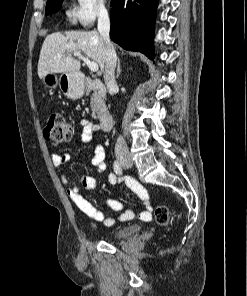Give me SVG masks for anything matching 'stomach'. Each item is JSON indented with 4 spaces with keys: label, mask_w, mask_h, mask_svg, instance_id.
Instances as JSON below:
<instances>
[{
    "label": "stomach",
    "mask_w": 247,
    "mask_h": 296,
    "mask_svg": "<svg viewBox=\"0 0 247 296\" xmlns=\"http://www.w3.org/2000/svg\"><path fill=\"white\" fill-rule=\"evenodd\" d=\"M42 83L50 90L59 85L62 92L71 99L80 98L84 93L83 83L77 73H63L59 77L55 73H48L42 78Z\"/></svg>",
    "instance_id": "obj_1"
}]
</instances>
